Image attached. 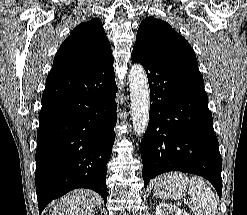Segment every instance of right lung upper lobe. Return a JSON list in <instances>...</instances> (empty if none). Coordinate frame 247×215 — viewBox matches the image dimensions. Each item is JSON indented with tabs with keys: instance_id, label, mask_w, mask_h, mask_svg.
I'll use <instances>...</instances> for the list:
<instances>
[{
	"instance_id": "1",
	"label": "right lung upper lobe",
	"mask_w": 247,
	"mask_h": 215,
	"mask_svg": "<svg viewBox=\"0 0 247 215\" xmlns=\"http://www.w3.org/2000/svg\"><path fill=\"white\" fill-rule=\"evenodd\" d=\"M113 58L102 23L94 18L75 27L60 46L53 67L73 72L89 71Z\"/></svg>"
}]
</instances>
